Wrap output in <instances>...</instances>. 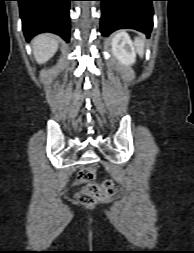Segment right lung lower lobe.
<instances>
[{
    "label": "right lung lower lobe",
    "mask_w": 194,
    "mask_h": 253,
    "mask_svg": "<svg viewBox=\"0 0 194 253\" xmlns=\"http://www.w3.org/2000/svg\"><path fill=\"white\" fill-rule=\"evenodd\" d=\"M26 39L52 32L69 42L71 0H17Z\"/></svg>",
    "instance_id": "1"
}]
</instances>
